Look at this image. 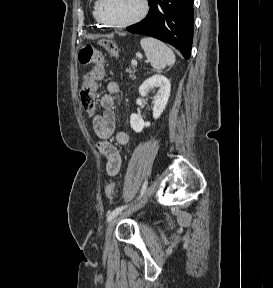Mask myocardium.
Wrapping results in <instances>:
<instances>
[{
	"label": "myocardium",
	"instance_id": "f54148a6",
	"mask_svg": "<svg viewBox=\"0 0 273 288\" xmlns=\"http://www.w3.org/2000/svg\"><path fill=\"white\" fill-rule=\"evenodd\" d=\"M103 2L104 0H97V6H96L97 18L102 24L108 27H112V28H124V27H129L133 24L138 23L147 15L148 9H149L147 0H140L141 9L138 14H136L134 17L126 21L111 22V21L106 20L102 14Z\"/></svg>",
	"mask_w": 273,
	"mask_h": 288
}]
</instances>
